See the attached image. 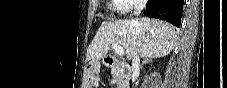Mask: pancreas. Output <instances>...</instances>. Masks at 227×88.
I'll return each mask as SVG.
<instances>
[{
    "mask_svg": "<svg viewBox=\"0 0 227 88\" xmlns=\"http://www.w3.org/2000/svg\"><path fill=\"white\" fill-rule=\"evenodd\" d=\"M111 74L115 83L124 88L128 87V75H126L121 69L113 67L111 69Z\"/></svg>",
    "mask_w": 227,
    "mask_h": 88,
    "instance_id": "obj_1",
    "label": "pancreas"
}]
</instances>
